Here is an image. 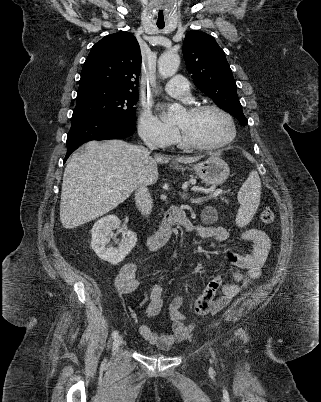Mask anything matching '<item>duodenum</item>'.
I'll return each instance as SVG.
<instances>
[{
  "label": "duodenum",
  "instance_id": "obj_1",
  "mask_svg": "<svg viewBox=\"0 0 321 402\" xmlns=\"http://www.w3.org/2000/svg\"><path fill=\"white\" fill-rule=\"evenodd\" d=\"M185 221L186 214L183 210L179 208L169 210L159 230L149 236L147 240L148 248L156 250L164 246L169 241L173 228L177 224H183Z\"/></svg>",
  "mask_w": 321,
  "mask_h": 402
}]
</instances>
